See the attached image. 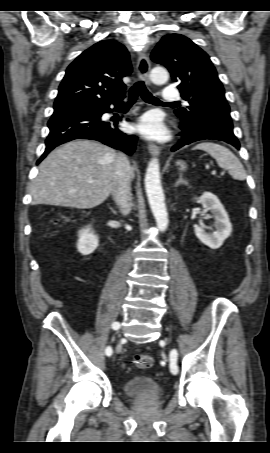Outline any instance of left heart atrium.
I'll use <instances>...</instances> for the list:
<instances>
[{"mask_svg":"<svg viewBox=\"0 0 270 453\" xmlns=\"http://www.w3.org/2000/svg\"><path fill=\"white\" fill-rule=\"evenodd\" d=\"M137 130L150 138H163L166 134L161 119L156 115L144 116L137 125Z\"/></svg>","mask_w":270,"mask_h":453,"instance_id":"39dd6f15","label":"left heart atrium"}]
</instances>
